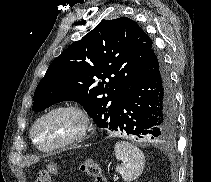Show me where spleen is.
I'll return each mask as SVG.
<instances>
[{"instance_id":"1","label":"spleen","mask_w":211,"mask_h":182,"mask_svg":"<svg viewBox=\"0 0 211 182\" xmlns=\"http://www.w3.org/2000/svg\"><path fill=\"white\" fill-rule=\"evenodd\" d=\"M114 154L118 161H122V164L116 167V172L121 174L124 181L131 182L142 174L145 157L138 147L126 141H119L115 144Z\"/></svg>"}]
</instances>
